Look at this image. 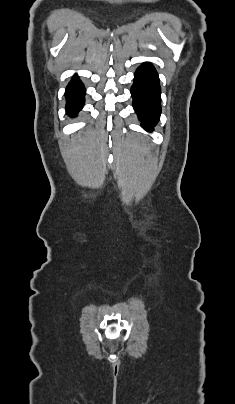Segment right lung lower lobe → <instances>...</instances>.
Returning a JSON list of instances; mask_svg holds the SVG:
<instances>
[{
    "mask_svg": "<svg viewBox=\"0 0 235 404\" xmlns=\"http://www.w3.org/2000/svg\"><path fill=\"white\" fill-rule=\"evenodd\" d=\"M85 89L83 84L74 78L67 86L65 96L67 99L66 111L70 116H75L84 104Z\"/></svg>",
    "mask_w": 235,
    "mask_h": 404,
    "instance_id": "1",
    "label": "right lung lower lobe"
}]
</instances>
